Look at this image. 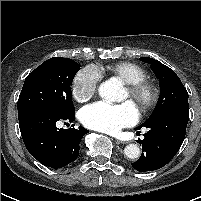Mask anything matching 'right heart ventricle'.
<instances>
[{
    "mask_svg": "<svg viewBox=\"0 0 201 201\" xmlns=\"http://www.w3.org/2000/svg\"><path fill=\"white\" fill-rule=\"evenodd\" d=\"M100 74L107 72L119 78L124 83H132L144 80L147 77L146 71L139 65L132 62H118L105 67L96 68Z\"/></svg>",
    "mask_w": 201,
    "mask_h": 201,
    "instance_id": "obj_1",
    "label": "right heart ventricle"
}]
</instances>
